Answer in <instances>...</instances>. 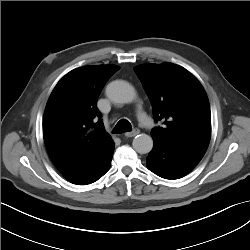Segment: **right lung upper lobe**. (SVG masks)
Wrapping results in <instances>:
<instances>
[{
	"mask_svg": "<svg viewBox=\"0 0 250 250\" xmlns=\"http://www.w3.org/2000/svg\"><path fill=\"white\" fill-rule=\"evenodd\" d=\"M115 65L84 66L67 73L55 86L43 117L48 154L65 174L90 161L113 141L98 120L97 99Z\"/></svg>",
	"mask_w": 250,
	"mask_h": 250,
	"instance_id": "right-lung-upper-lobe-1",
	"label": "right lung upper lobe"
}]
</instances>
